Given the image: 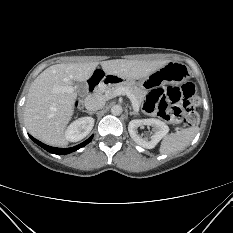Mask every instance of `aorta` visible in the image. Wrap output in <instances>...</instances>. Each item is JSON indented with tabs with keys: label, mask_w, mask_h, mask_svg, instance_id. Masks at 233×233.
I'll list each match as a JSON object with an SVG mask.
<instances>
[{
	"label": "aorta",
	"mask_w": 233,
	"mask_h": 233,
	"mask_svg": "<svg viewBox=\"0 0 233 233\" xmlns=\"http://www.w3.org/2000/svg\"><path fill=\"white\" fill-rule=\"evenodd\" d=\"M122 106L121 105H113L112 108H111V113L115 116H118L120 114H122Z\"/></svg>",
	"instance_id": "obj_1"
}]
</instances>
